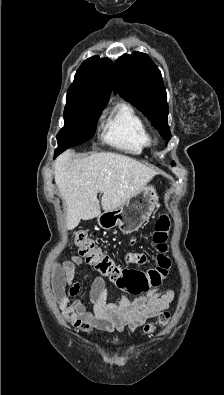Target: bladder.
I'll use <instances>...</instances> for the list:
<instances>
[{
	"label": "bladder",
	"instance_id": "31cf9c89",
	"mask_svg": "<svg viewBox=\"0 0 224 395\" xmlns=\"http://www.w3.org/2000/svg\"><path fill=\"white\" fill-rule=\"evenodd\" d=\"M111 343H112V344H116L117 342H116V341H111Z\"/></svg>",
	"mask_w": 224,
	"mask_h": 395
}]
</instances>
